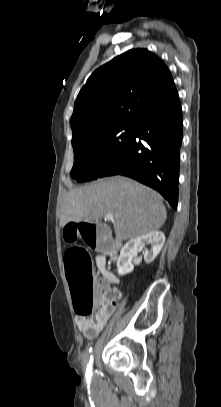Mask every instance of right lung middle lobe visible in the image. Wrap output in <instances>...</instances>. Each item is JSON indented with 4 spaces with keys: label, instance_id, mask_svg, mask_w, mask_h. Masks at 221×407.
Masks as SVG:
<instances>
[{
    "label": "right lung middle lobe",
    "instance_id": "1",
    "mask_svg": "<svg viewBox=\"0 0 221 407\" xmlns=\"http://www.w3.org/2000/svg\"><path fill=\"white\" fill-rule=\"evenodd\" d=\"M134 129V124L114 126L73 143L72 177L78 182L91 181L100 177L128 146Z\"/></svg>",
    "mask_w": 221,
    "mask_h": 407
}]
</instances>
